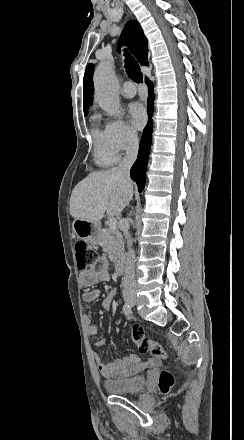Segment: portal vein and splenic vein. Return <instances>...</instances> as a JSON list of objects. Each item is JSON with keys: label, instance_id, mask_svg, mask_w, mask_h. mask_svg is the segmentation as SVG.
I'll use <instances>...</instances> for the list:
<instances>
[{"label": "portal vein and splenic vein", "instance_id": "18ae733b", "mask_svg": "<svg viewBox=\"0 0 244 440\" xmlns=\"http://www.w3.org/2000/svg\"><path fill=\"white\" fill-rule=\"evenodd\" d=\"M108 226H109V230H116L117 228L116 218H108Z\"/></svg>", "mask_w": 244, "mask_h": 440}]
</instances>
